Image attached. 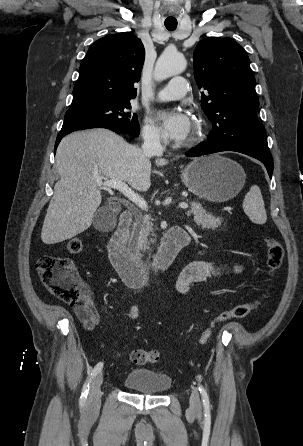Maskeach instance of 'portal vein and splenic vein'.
<instances>
[{"label":"portal vein and splenic vein","mask_w":303,"mask_h":446,"mask_svg":"<svg viewBox=\"0 0 303 446\" xmlns=\"http://www.w3.org/2000/svg\"><path fill=\"white\" fill-rule=\"evenodd\" d=\"M96 182L103 187H108L120 191L126 198L135 203L141 210L147 211L148 205L146 201L137 193H135L125 182L118 180H106L102 181L97 179ZM179 207L187 209L188 204L186 202L179 203Z\"/></svg>","instance_id":"18ae733b"}]
</instances>
